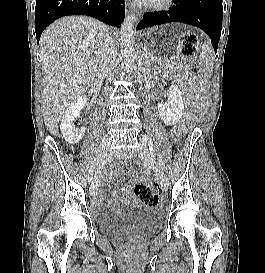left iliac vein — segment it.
Returning a JSON list of instances; mask_svg holds the SVG:
<instances>
[{
	"instance_id": "left-iliac-vein-1",
	"label": "left iliac vein",
	"mask_w": 265,
	"mask_h": 273,
	"mask_svg": "<svg viewBox=\"0 0 265 273\" xmlns=\"http://www.w3.org/2000/svg\"><path fill=\"white\" fill-rule=\"evenodd\" d=\"M148 138H150L148 135H146ZM139 157L140 159L146 163L148 166H150L158 175L160 185L164 191H167L168 189V178L167 175L159 168L158 164L156 163L155 159L149 152V149L145 145V143L141 140L140 144V151H139Z\"/></svg>"
}]
</instances>
